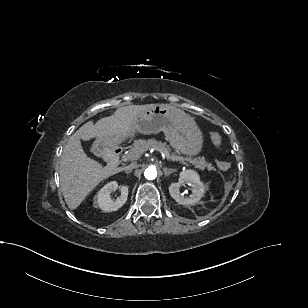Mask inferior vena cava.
<instances>
[{"mask_svg": "<svg viewBox=\"0 0 308 308\" xmlns=\"http://www.w3.org/2000/svg\"><path fill=\"white\" fill-rule=\"evenodd\" d=\"M136 166L135 165H130L126 168V173H130L132 172V170L135 168Z\"/></svg>", "mask_w": 308, "mask_h": 308, "instance_id": "obj_1", "label": "inferior vena cava"}]
</instances>
